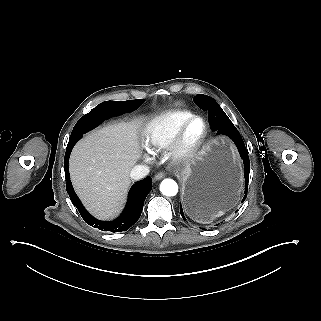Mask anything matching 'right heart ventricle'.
<instances>
[{"label":"right heart ventricle","mask_w":321,"mask_h":321,"mask_svg":"<svg viewBox=\"0 0 321 321\" xmlns=\"http://www.w3.org/2000/svg\"><path fill=\"white\" fill-rule=\"evenodd\" d=\"M192 115V111L184 108L168 109L156 114L143 128V145L153 152L164 151L177 127Z\"/></svg>","instance_id":"right-heart-ventricle-1"}]
</instances>
